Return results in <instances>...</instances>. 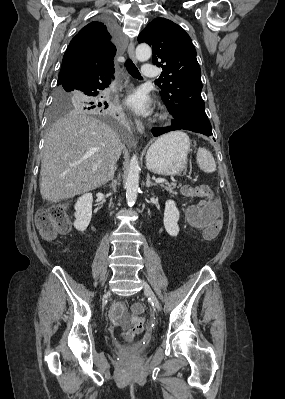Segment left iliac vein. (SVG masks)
I'll return each mask as SVG.
<instances>
[{
    "mask_svg": "<svg viewBox=\"0 0 285 399\" xmlns=\"http://www.w3.org/2000/svg\"><path fill=\"white\" fill-rule=\"evenodd\" d=\"M141 284L143 286L144 291L146 292V294L149 296L150 300L152 301V303L155 305V307L158 310H160L161 309L160 302H159L158 298L156 297V295L154 294L153 290L151 289L150 285L143 279L141 280Z\"/></svg>",
    "mask_w": 285,
    "mask_h": 399,
    "instance_id": "obj_1",
    "label": "left iliac vein"
}]
</instances>
